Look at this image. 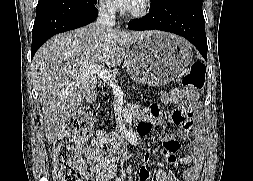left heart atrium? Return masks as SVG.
Instances as JSON below:
<instances>
[{
  "mask_svg": "<svg viewBox=\"0 0 253 181\" xmlns=\"http://www.w3.org/2000/svg\"><path fill=\"white\" fill-rule=\"evenodd\" d=\"M141 0H114L115 4L123 10H133Z\"/></svg>",
  "mask_w": 253,
  "mask_h": 181,
  "instance_id": "left-heart-atrium-1",
  "label": "left heart atrium"
}]
</instances>
